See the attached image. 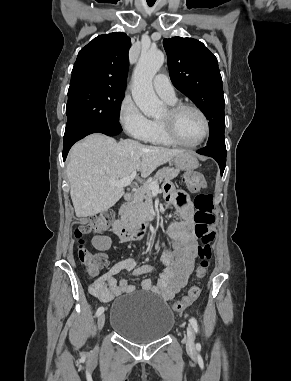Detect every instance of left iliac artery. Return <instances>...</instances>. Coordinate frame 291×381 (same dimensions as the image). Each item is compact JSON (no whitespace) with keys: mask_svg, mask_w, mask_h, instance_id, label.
Masks as SVG:
<instances>
[{"mask_svg":"<svg viewBox=\"0 0 291 381\" xmlns=\"http://www.w3.org/2000/svg\"><path fill=\"white\" fill-rule=\"evenodd\" d=\"M190 323H191V325H192L194 331L197 333V332H198V323H197V321H196V319H195L194 317H191V318H190ZM196 346H197V347H200V344L197 343Z\"/></svg>","mask_w":291,"mask_h":381,"instance_id":"44dca946","label":"left iliac artery"}]
</instances>
